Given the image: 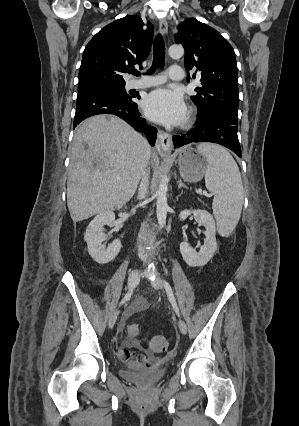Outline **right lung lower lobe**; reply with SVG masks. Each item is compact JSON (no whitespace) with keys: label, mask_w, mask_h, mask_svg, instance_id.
Returning a JSON list of instances; mask_svg holds the SVG:
<instances>
[{"label":"right lung lower lobe","mask_w":299,"mask_h":426,"mask_svg":"<svg viewBox=\"0 0 299 426\" xmlns=\"http://www.w3.org/2000/svg\"><path fill=\"white\" fill-rule=\"evenodd\" d=\"M136 96L124 98L108 91L84 89L78 92L77 107L74 118L75 128L84 119L97 114H114L135 130L146 133L149 143L154 146L157 130L146 125L145 119L140 117L137 104L134 101ZM137 98H140L137 96Z\"/></svg>","instance_id":"98d812e1"}]
</instances>
